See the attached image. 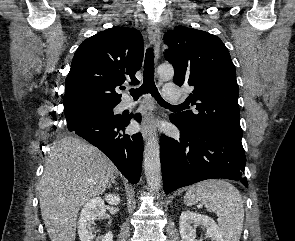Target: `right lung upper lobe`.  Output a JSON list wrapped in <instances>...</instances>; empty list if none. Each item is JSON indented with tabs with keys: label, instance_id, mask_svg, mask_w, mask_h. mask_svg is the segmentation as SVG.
<instances>
[{
	"label": "right lung upper lobe",
	"instance_id": "obj_1",
	"mask_svg": "<svg viewBox=\"0 0 295 241\" xmlns=\"http://www.w3.org/2000/svg\"><path fill=\"white\" fill-rule=\"evenodd\" d=\"M143 60V39L134 28L113 27L86 39L76 50L66 78L64 112L117 105L115 87L131 80Z\"/></svg>",
	"mask_w": 295,
	"mask_h": 241
}]
</instances>
